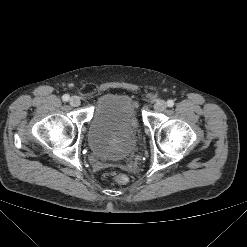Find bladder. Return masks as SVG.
<instances>
[{
	"label": "bladder",
	"mask_w": 247,
	"mask_h": 247,
	"mask_svg": "<svg viewBox=\"0 0 247 247\" xmlns=\"http://www.w3.org/2000/svg\"><path fill=\"white\" fill-rule=\"evenodd\" d=\"M140 124L134 100L123 93H106L98 102L88 130L90 150L97 156L116 162L127 160L134 152ZM119 135L123 143L109 138Z\"/></svg>",
	"instance_id": "31cf9c89"
}]
</instances>
